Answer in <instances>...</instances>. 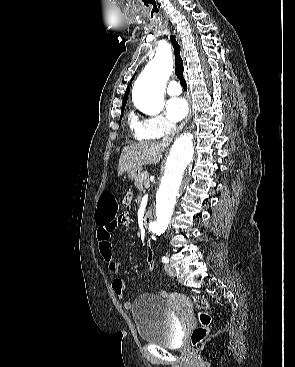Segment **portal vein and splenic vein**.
Here are the masks:
<instances>
[{"label": "portal vein and splenic vein", "mask_w": 295, "mask_h": 367, "mask_svg": "<svg viewBox=\"0 0 295 367\" xmlns=\"http://www.w3.org/2000/svg\"><path fill=\"white\" fill-rule=\"evenodd\" d=\"M144 186H145V188H149V186H150L149 181L145 182Z\"/></svg>", "instance_id": "1"}]
</instances>
